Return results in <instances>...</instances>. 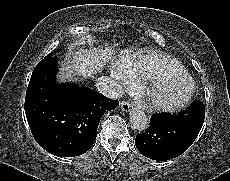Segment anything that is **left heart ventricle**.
<instances>
[{"label":"left heart ventricle","mask_w":230,"mask_h":181,"mask_svg":"<svg viewBox=\"0 0 230 181\" xmlns=\"http://www.w3.org/2000/svg\"><path fill=\"white\" fill-rule=\"evenodd\" d=\"M188 89L187 82L182 79L168 81L156 92V97L163 101H175L181 98Z\"/></svg>","instance_id":"1"}]
</instances>
